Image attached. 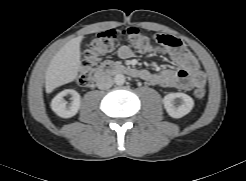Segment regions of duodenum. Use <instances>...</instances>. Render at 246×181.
<instances>
[{"mask_svg":"<svg viewBox=\"0 0 246 181\" xmlns=\"http://www.w3.org/2000/svg\"><path fill=\"white\" fill-rule=\"evenodd\" d=\"M109 74H124L130 77L140 78L142 72L129 66L106 62L95 72L93 81L100 82Z\"/></svg>","mask_w":246,"mask_h":181,"instance_id":"obj_1","label":"duodenum"}]
</instances>
